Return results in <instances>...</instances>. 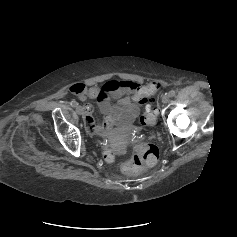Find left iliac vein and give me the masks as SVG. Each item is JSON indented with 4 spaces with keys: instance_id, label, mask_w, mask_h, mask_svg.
Wrapping results in <instances>:
<instances>
[{
    "instance_id": "left-iliac-vein-1",
    "label": "left iliac vein",
    "mask_w": 237,
    "mask_h": 237,
    "mask_svg": "<svg viewBox=\"0 0 237 237\" xmlns=\"http://www.w3.org/2000/svg\"><path fill=\"white\" fill-rule=\"evenodd\" d=\"M169 102V95L168 94H165L163 97H162V103L166 104Z\"/></svg>"
}]
</instances>
